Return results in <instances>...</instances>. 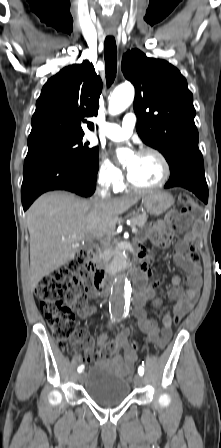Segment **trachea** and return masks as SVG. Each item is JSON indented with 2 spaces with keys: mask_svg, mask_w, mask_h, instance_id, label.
I'll return each instance as SVG.
<instances>
[{
  "mask_svg": "<svg viewBox=\"0 0 221 448\" xmlns=\"http://www.w3.org/2000/svg\"><path fill=\"white\" fill-rule=\"evenodd\" d=\"M105 67H106V82L107 86L110 87L113 83L116 72H117V47L115 38L108 36L105 39Z\"/></svg>",
  "mask_w": 221,
  "mask_h": 448,
  "instance_id": "3493384b",
  "label": "trachea"
}]
</instances>
